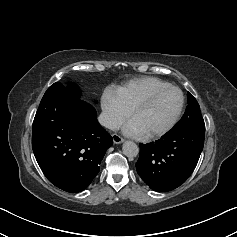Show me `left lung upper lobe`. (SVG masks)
<instances>
[{
  "label": "left lung upper lobe",
  "mask_w": 237,
  "mask_h": 237,
  "mask_svg": "<svg viewBox=\"0 0 237 237\" xmlns=\"http://www.w3.org/2000/svg\"><path fill=\"white\" fill-rule=\"evenodd\" d=\"M188 106L181 120L171 131H183L189 129L205 130L204 120L202 118L200 107L196 99L188 92Z\"/></svg>",
  "instance_id": "left-lung-upper-lobe-1"
}]
</instances>
